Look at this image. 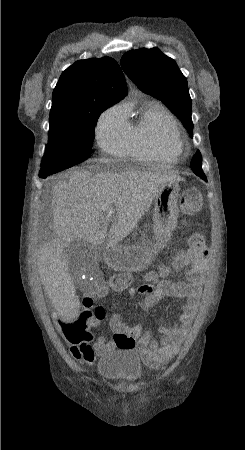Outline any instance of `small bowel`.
Masks as SVG:
<instances>
[{
	"label": "small bowel",
	"mask_w": 245,
	"mask_h": 450,
	"mask_svg": "<svg viewBox=\"0 0 245 450\" xmlns=\"http://www.w3.org/2000/svg\"><path fill=\"white\" fill-rule=\"evenodd\" d=\"M185 266H190L186 273L185 281L177 283L166 279L169 273L180 271ZM208 270V255L191 249L186 251L178 250L173 255L170 266L161 270L158 274H149L147 276L148 280L153 281L152 284L126 285L121 288L103 286L99 289L96 296H105L109 290H125L129 296H143L144 300L141 302V305L146 308H155L163 297H182L186 299L182 311L178 314L176 323L171 327L161 329L162 337L160 340L154 339L152 332L147 330L137 340L136 345L133 346L146 366L156 368L158 365L170 361L178 353L188 333L191 321L198 311L201 286ZM55 284L59 288H65L68 297H71L72 290L67 281L56 280ZM73 317H75V312H69L63 304L58 306L53 312L56 329L67 343L70 353L76 360L86 363H92L96 355L103 356L117 347L124 348L116 335L124 331L130 332L133 328L124 324L120 316L115 313L110 320L113 336L109 340L94 339L87 343H76L68 338L61 329L62 322Z\"/></svg>",
	"instance_id": "1"
}]
</instances>
